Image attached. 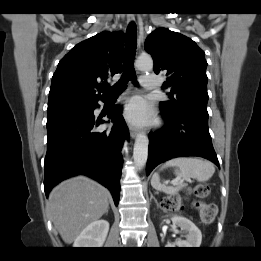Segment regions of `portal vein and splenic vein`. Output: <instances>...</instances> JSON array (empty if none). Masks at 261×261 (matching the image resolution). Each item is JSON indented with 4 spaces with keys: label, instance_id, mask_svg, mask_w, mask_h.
Segmentation results:
<instances>
[{
    "label": "portal vein and splenic vein",
    "instance_id": "18ae733b",
    "mask_svg": "<svg viewBox=\"0 0 261 261\" xmlns=\"http://www.w3.org/2000/svg\"><path fill=\"white\" fill-rule=\"evenodd\" d=\"M188 181H189V179H187ZM183 183V181L181 180V181H178V180H174L173 181V184H182Z\"/></svg>",
    "mask_w": 261,
    "mask_h": 261
}]
</instances>
